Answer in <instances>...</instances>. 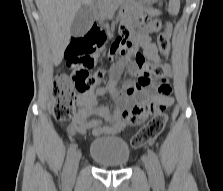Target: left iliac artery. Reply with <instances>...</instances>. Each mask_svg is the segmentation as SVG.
I'll list each match as a JSON object with an SVG mask.
<instances>
[{
    "instance_id": "obj_1",
    "label": "left iliac artery",
    "mask_w": 223,
    "mask_h": 191,
    "mask_svg": "<svg viewBox=\"0 0 223 191\" xmlns=\"http://www.w3.org/2000/svg\"><path fill=\"white\" fill-rule=\"evenodd\" d=\"M148 156L154 165L156 176H157L159 183L163 184V182H164L163 172H162V169H161V166H160V163H159L156 153L152 149H148Z\"/></svg>"
}]
</instances>
